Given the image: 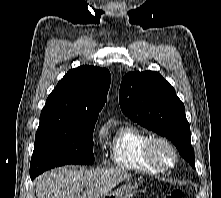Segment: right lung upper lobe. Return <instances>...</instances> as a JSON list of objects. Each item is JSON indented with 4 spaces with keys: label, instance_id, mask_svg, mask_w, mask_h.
<instances>
[{
    "label": "right lung upper lobe",
    "instance_id": "right-lung-upper-lobe-1",
    "mask_svg": "<svg viewBox=\"0 0 221 198\" xmlns=\"http://www.w3.org/2000/svg\"><path fill=\"white\" fill-rule=\"evenodd\" d=\"M110 80L105 68L81 66L70 70L48 96L38 129L83 131L95 127Z\"/></svg>",
    "mask_w": 221,
    "mask_h": 198
}]
</instances>
